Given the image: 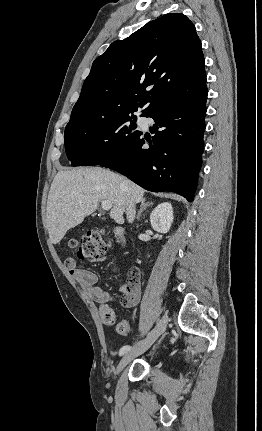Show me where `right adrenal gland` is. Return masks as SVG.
Returning <instances> with one entry per match:
<instances>
[{
    "instance_id": "2a0ac1e0",
    "label": "right adrenal gland",
    "mask_w": 262,
    "mask_h": 431,
    "mask_svg": "<svg viewBox=\"0 0 262 431\" xmlns=\"http://www.w3.org/2000/svg\"><path fill=\"white\" fill-rule=\"evenodd\" d=\"M150 205H153V202H145V199H143V200L141 201L140 210L138 211L137 216H136V218H137L138 220H140V217H141L142 212H143V211H144L148 206H150Z\"/></svg>"
}]
</instances>
